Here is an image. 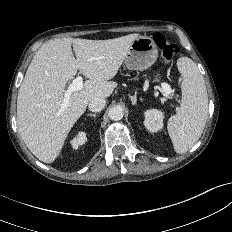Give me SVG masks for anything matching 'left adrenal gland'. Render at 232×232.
I'll return each mask as SVG.
<instances>
[{
    "label": "left adrenal gland",
    "instance_id": "1",
    "mask_svg": "<svg viewBox=\"0 0 232 232\" xmlns=\"http://www.w3.org/2000/svg\"><path fill=\"white\" fill-rule=\"evenodd\" d=\"M132 102V105H136L137 103V97L136 96H129Z\"/></svg>",
    "mask_w": 232,
    "mask_h": 232
}]
</instances>
